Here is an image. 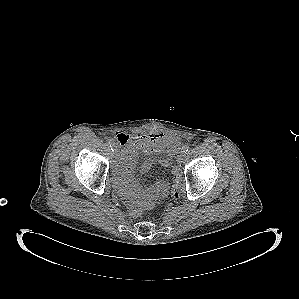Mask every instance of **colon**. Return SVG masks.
Here are the masks:
<instances>
[{
	"label": "colon",
	"instance_id": "colon-1",
	"mask_svg": "<svg viewBox=\"0 0 299 299\" xmlns=\"http://www.w3.org/2000/svg\"><path fill=\"white\" fill-rule=\"evenodd\" d=\"M178 162V161H177ZM171 172L173 175V185L171 188V195L174 198H178L181 194L183 188V177L180 167L177 164H173L171 167ZM130 215L133 217H138L142 214V208L139 206H132L129 209Z\"/></svg>",
	"mask_w": 299,
	"mask_h": 299
}]
</instances>
